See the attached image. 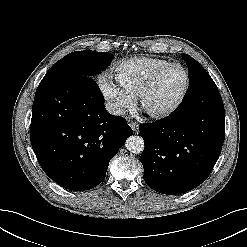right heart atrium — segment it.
<instances>
[{"mask_svg":"<svg viewBox=\"0 0 247 247\" xmlns=\"http://www.w3.org/2000/svg\"><path fill=\"white\" fill-rule=\"evenodd\" d=\"M98 86L113 114L120 115L132 105V97L125 93L109 76H101Z\"/></svg>","mask_w":247,"mask_h":247,"instance_id":"right-heart-atrium-1","label":"right heart atrium"}]
</instances>
